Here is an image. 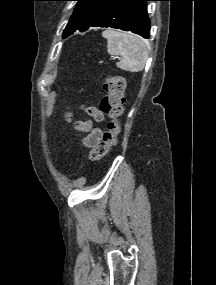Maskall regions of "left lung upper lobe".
Listing matches in <instances>:
<instances>
[{"label": "left lung upper lobe", "instance_id": "obj_1", "mask_svg": "<svg viewBox=\"0 0 216 285\" xmlns=\"http://www.w3.org/2000/svg\"><path fill=\"white\" fill-rule=\"evenodd\" d=\"M77 1L73 15L71 16L63 33V38L75 30L88 28L91 23L115 0H75Z\"/></svg>", "mask_w": 216, "mask_h": 285}]
</instances>
